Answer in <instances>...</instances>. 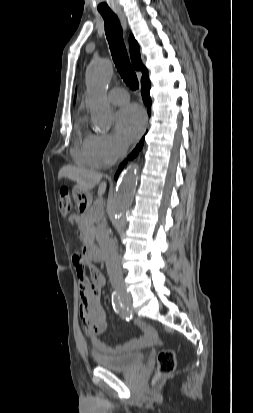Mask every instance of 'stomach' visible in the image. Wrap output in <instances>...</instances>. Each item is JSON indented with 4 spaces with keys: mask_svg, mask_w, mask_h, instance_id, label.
Listing matches in <instances>:
<instances>
[{
    "mask_svg": "<svg viewBox=\"0 0 253 413\" xmlns=\"http://www.w3.org/2000/svg\"><path fill=\"white\" fill-rule=\"evenodd\" d=\"M74 201L79 206L88 205L91 201V194L88 191L81 189L79 186H75L72 191Z\"/></svg>",
    "mask_w": 253,
    "mask_h": 413,
    "instance_id": "1",
    "label": "stomach"
}]
</instances>
